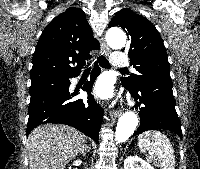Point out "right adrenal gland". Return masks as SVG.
I'll list each match as a JSON object with an SVG mask.
<instances>
[{"mask_svg": "<svg viewBox=\"0 0 200 169\" xmlns=\"http://www.w3.org/2000/svg\"><path fill=\"white\" fill-rule=\"evenodd\" d=\"M90 151V148L84 144L82 149L80 150V153L83 155V156H86V152H89Z\"/></svg>", "mask_w": 200, "mask_h": 169, "instance_id": "right-adrenal-gland-1", "label": "right adrenal gland"}]
</instances>
